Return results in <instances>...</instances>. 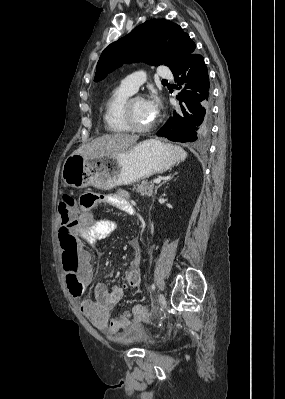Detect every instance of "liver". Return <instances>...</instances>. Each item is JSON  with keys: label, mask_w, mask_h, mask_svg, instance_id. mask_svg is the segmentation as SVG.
Wrapping results in <instances>:
<instances>
[{"label": "liver", "mask_w": 285, "mask_h": 399, "mask_svg": "<svg viewBox=\"0 0 285 399\" xmlns=\"http://www.w3.org/2000/svg\"><path fill=\"white\" fill-rule=\"evenodd\" d=\"M139 136L122 133L107 134L79 147L74 153L87 157L115 156L130 149Z\"/></svg>", "instance_id": "obj_1"}]
</instances>
